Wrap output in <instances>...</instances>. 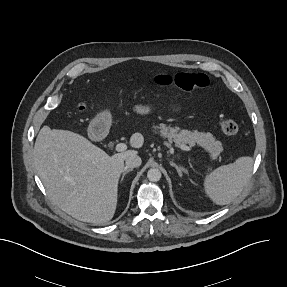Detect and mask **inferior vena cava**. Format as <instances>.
<instances>
[{
    "label": "inferior vena cava",
    "mask_w": 287,
    "mask_h": 287,
    "mask_svg": "<svg viewBox=\"0 0 287 287\" xmlns=\"http://www.w3.org/2000/svg\"><path fill=\"white\" fill-rule=\"evenodd\" d=\"M141 163V158L136 154L128 156L125 160L126 168H136L139 167Z\"/></svg>",
    "instance_id": "obj_1"
}]
</instances>
